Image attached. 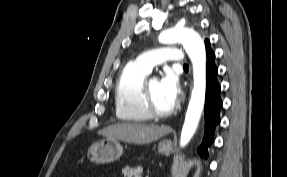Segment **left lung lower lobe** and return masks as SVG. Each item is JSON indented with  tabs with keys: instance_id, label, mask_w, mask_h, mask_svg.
I'll list each match as a JSON object with an SVG mask.
<instances>
[{
	"instance_id": "obj_1",
	"label": "left lung lower lobe",
	"mask_w": 287,
	"mask_h": 177,
	"mask_svg": "<svg viewBox=\"0 0 287 177\" xmlns=\"http://www.w3.org/2000/svg\"><path fill=\"white\" fill-rule=\"evenodd\" d=\"M206 47V99H205V135L202 144L198 148L201 157L207 159V148L213 143L214 131L220 124V109L222 100L220 97V84L217 80L218 69L215 65V53L210 47V41L205 40Z\"/></svg>"
}]
</instances>
